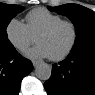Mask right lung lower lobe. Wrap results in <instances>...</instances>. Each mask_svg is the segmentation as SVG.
<instances>
[{
	"label": "right lung lower lobe",
	"instance_id": "1",
	"mask_svg": "<svg viewBox=\"0 0 95 95\" xmlns=\"http://www.w3.org/2000/svg\"><path fill=\"white\" fill-rule=\"evenodd\" d=\"M33 69L14 46L0 48V95H18L22 79Z\"/></svg>",
	"mask_w": 95,
	"mask_h": 95
}]
</instances>
